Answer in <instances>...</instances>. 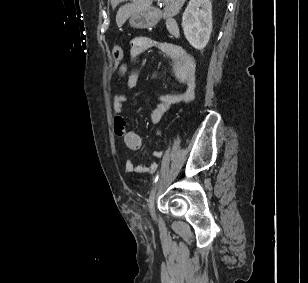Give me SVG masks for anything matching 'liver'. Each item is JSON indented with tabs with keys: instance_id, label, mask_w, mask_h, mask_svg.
Wrapping results in <instances>:
<instances>
[{
	"instance_id": "liver-1",
	"label": "liver",
	"mask_w": 308,
	"mask_h": 283,
	"mask_svg": "<svg viewBox=\"0 0 308 283\" xmlns=\"http://www.w3.org/2000/svg\"><path fill=\"white\" fill-rule=\"evenodd\" d=\"M126 0H111L112 7H116L120 2ZM186 0H164L165 14L175 16L179 13ZM153 0H131V3L119 8L116 15V24L121 27L132 15L147 12L152 5Z\"/></svg>"
}]
</instances>
